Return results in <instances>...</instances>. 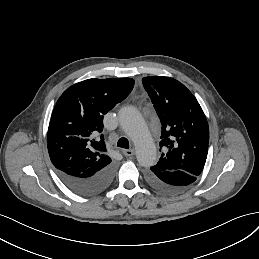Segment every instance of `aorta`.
Masks as SVG:
<instances>
[{
  "label": "aorta",
  "mask_w": 259,
  "mask_h": 259,
  "mask_svg": "<svg viewBox=\"0 0 259 259\" xmlns=\"http://www.w3.org/2000/svg\"><path fill=\"white\" fill-rule=\"evenodd\" d=\"M119 122L135 145L139 164L143 167L156 164V146L139 111L131 106L122 108L119 112Z\"/></svg>",
  "instance_id": "aorta-1"
}]
</instances>
